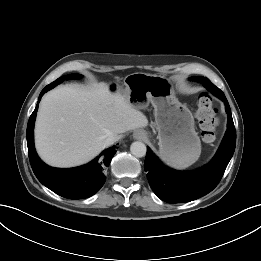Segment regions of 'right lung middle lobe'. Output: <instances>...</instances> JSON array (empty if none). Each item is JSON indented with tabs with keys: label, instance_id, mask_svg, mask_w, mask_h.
I'll use <instances>...</instances> for the list:
<instances>
[{
	"label": "right lung middle lobe",
	"instance_id": "1",
	"mask_svg": "<svg viewBox=\"0 0 261 261\" xmlns=\"http://www.w3.org/2000/svg\"><path fill=\"white\" fill-rule=\"evenodd\" d=\"M80 75L79 74H69L67 76H62L60 78H58L56 81L54 82H63L66 79H72V78H79Z\"/></svg>",
	"mask_w": 261,
	"mask_h": 261
}]
</instances>
